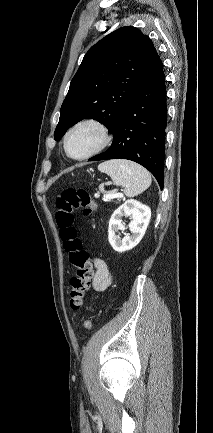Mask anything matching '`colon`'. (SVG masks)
Masks as SVG:
<instances>
[{
  "label": "colon",
  "mask_w": 213,
  "mask_h": 433,
  "mask_svg": "<svg viewBox=\"0 0 213 433\" xmlns=\"http://www.w3.org/2000/svg\"><path fill=\"white\" fill-rule=\"evenodd\" d=\"M56 207L55 218L60 229V237L69 261L75 268V274L70 279L69 305L72 310H78L90 288L93 270L88 254L82 248L78 231L73 226L74 213L81 210L85 217H90L96 212L97 205L85 189L67 188L58 197ZM83 325L88 330L93 327L92 321L88 318L84 319Z\"/></svg>",
  "instance_id": "obj_1"
}]
</instances>
